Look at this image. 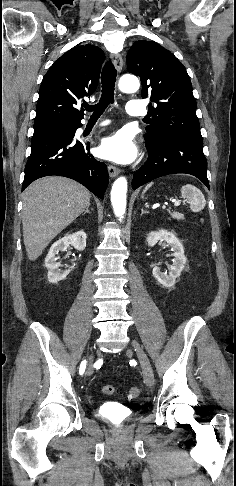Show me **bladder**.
<instances>
[{"mask_svg":"<svg viewBox=\"0 0 236 486\" xmlns=\"http://www.w3.org/2000/svg\"><path fill=\"white\" fill-rule=\"evenodd\" d=\"M98 412L101 416L106 418H115L122 416L123 410L114 403H104L98 407ZM126 417L127 415H123Z\"/></svg>","mask_w":236,"mask_h":486,"instance_id":"31cf9c89","label":"bladder"}]
</instances>
